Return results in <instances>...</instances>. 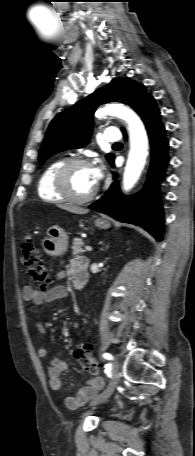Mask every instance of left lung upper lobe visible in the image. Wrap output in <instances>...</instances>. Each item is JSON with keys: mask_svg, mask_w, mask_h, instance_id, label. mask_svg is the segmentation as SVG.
Masks as SVG:
<instances>
[{"mask_svg": "<svg viewBox=\"0 0 195 456\" xmlns=\"http://www.w3.org/2000/svg\"><path fill=\"white\" fill-rule=\"evenodd\" d=\"M150 97L145 86L129 78H116L87 98L59 113L51 122L40 149L41 164L55 153L84 147L93 130L92 116L99 104L112 101L131 106L136 112ZM107 160L113 163L114 156Z\"/></svg>", "mask_w": 195, "mask_h": 456, "instance_id": "left-lung-upper-lobe-1", "label": "left lung upper lobe"}]
</instances>
